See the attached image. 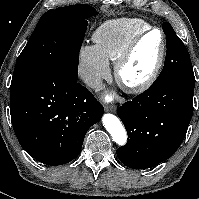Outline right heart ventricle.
Segmentation results:
<instances>
[{"instance_id":"e07e8e85","label":"right heart ventricle","mask_w":199,"mask_h":199,"mask_svg":"<svg viewBox=\"0 0 199 199\" xmlns=\"http://www.w3.org/2000/svg\"><path fill=\"white\" fill-rule=\"evenodd\" d=\"M151 25L139 18H120L101 24L93 34L96 48L107 61L115 62L127 44Z\"/></svg>"}]
</instances>
